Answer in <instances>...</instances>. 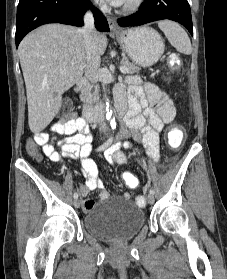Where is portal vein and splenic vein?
Here are the masks:
<instances>
[{
    "instance_id": "portal-vein-and-splenic-vein-1",
    "label": "portal vein and splenic vein",
    "mask_w": 227,
    "mask_h": 279,
    "mask_svg": "<svg viewBox=\"0 0 227 279\" xmlns=\"http://www.w3.org/2000/svg\"><path fill=\"white\" fill-rule=\"evenodd\" d=\"M120 71L122 73H127L128 72V69L125 67V66H120ZM61 73H64V71H62Z\"/></svg>"
}]
</instances>
